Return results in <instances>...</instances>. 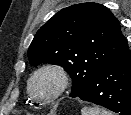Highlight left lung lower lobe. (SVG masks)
Segmentation results:
<instances>
[{"instance_id": "left-lung-lower-lobe-1", "label": "left lung lower lobe", "mask_w": 131, "mask_h": 115, "mask_svg": "<svg viewBox=\"0 0 131 115\" xmlns=\"http://www.w3.org/2000/svg\"><path fill=\"white\" fill-rule=\"evenodd\" d=\"M118 115H131V51L129 47L103 68L77 96Z\"/></svg>"}]
</instances>
